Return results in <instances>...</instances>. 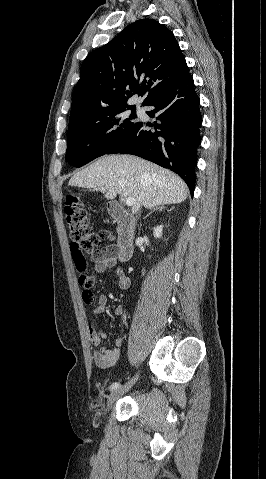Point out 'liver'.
I'll list each match as a JSON object with an SVG mask.
<instances>
[{
  "label": "liver",
  "instance_id": "obj_1",
  "mask_svg": "<svg viewBox=\"0 0 266 479\" xmlns=\"http://www.w3.org/2000/svg\"><path fill=\"white\" fill-rule=\"evenodd\" d=\"M70 186L97 189L104 187V197H134L132 211L142 206L151 209L186 200L188 189L175 173L131 155H106L74 174Z\"/></svg>",
  "mask_w": 266,
  "mask_h": 479
}]
</instances>
